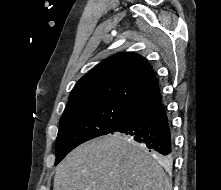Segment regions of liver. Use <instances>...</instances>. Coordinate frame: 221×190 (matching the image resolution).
<instances>
[{
	"label": "liver",
	"mask_w": 221,
	"mask_h": 190,
	"mask_svg": "<svg viewBox=\"0 0 221 190\" xmlns=\"http://www.w3.org/2000/svg\"><path fill=\"white\" fill-rule=\"evenodd\" d=\"M162 165L114 133L70 152L56 167L53 190H172Z\"/></svg>",
	"instance_id": "liver-1"
}]
</instances>
